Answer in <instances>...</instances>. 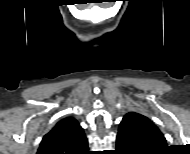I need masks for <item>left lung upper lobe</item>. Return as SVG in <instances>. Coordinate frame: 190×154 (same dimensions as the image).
I'll return each instance as SVG.
<instances>
[{
  "instance_id": "left-lung-upper-lobe-1",
  "label": "left lung upper lobe",
  "mask_w": 190,
  "mask_h": 154,
  "mask_svg": "<svg viewBox=\"0 0 190 154\" xmlns=\"http://www.w3.org/2000/svg\"><path fill=\"white\" fill-rule=\"evenodd\" d=\"M132 113H134V112H132ZM135 114H138V113H135ZM138 115L144 117L151 124V126L155 129V131L158 132L162 137H164L162 132L158 129V127L150 119H148L147 117H145V116H143L141 114H138Z\"/></svg>"
}]
</instances>
